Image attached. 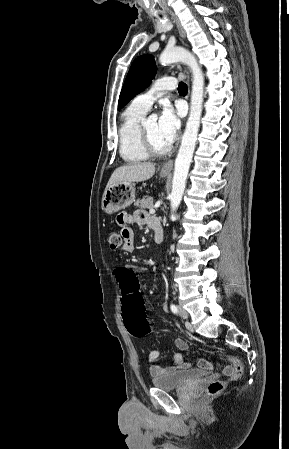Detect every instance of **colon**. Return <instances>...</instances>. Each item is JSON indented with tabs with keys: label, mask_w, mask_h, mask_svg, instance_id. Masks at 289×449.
<instances>
[{
	"label": "colon",
	"mask_w": 289,
	"mask_h": 449,
	"mask_svg": "<svg viewBox=\"0 0 289 449\" xmlns=\"http://www.w3.org/2000/svg\"><path fill=\"white\" fill-rule=\"evenodd\" d=\"M108 243L111 250H118L123 246L124 239L121 233L111 232L108 235ZM113 277L118 280L119 290L122 292L121 304L123 306L124 322L127 330L136 337H143L152 332L144 310L142 295L136 275L131 268H113ZM231 362L233 372L232 379H237L243 373L241 361L233 356H226ZM225 382L213 381L208 386L209 394H218L223 390Z\"/></svg>",
	"instance_id": "5ec220e1"
}]
</instances>
